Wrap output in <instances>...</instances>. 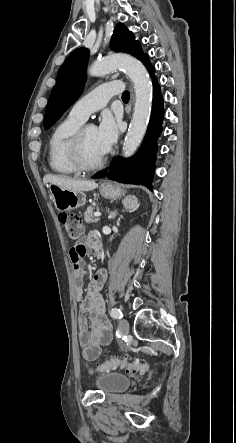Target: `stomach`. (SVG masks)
<instances>
[{"instance_id": "0dacf381", "label": "stomach", "mask_w": 236, "mask_h": 443, "mask_svg": "<svg viewBox=\"0 0 236 443\" xmlns=\"http://www.w3.org/2000/svg\"><path fill=\"white\" fill-rule=\"evenodd\" d=\"M54 205L59 211H70L83 206L86 202V195L83 191H72L64 189L55 184L48 186ZM100 193L108 199H116L124 192L119 186L110 185L107 188H101Z\"/></svg>"}]
</instances>
